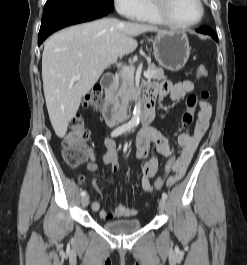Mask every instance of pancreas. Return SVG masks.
<instances>
[{
    "instance_id": "pancreas-1",
    "label": "pancreas",
    "mask_w": 247,
    "mask_h": 265,
    "mask_svg": "<svg viewBox=\"0 0 247 265\" xmlns=\"http://www.w3.org/2000/svg\"><path fill=\"white\" fill-rule=\"evenodd\" d=\"M148 72L152 74V78L155 80L165 79L164 71L161 68L155 66V64L148 62ZM124 92L128 95V97L132 98L135 92V82L133 75L124 76L122 78V82H116L114 86V95L113 102L115 105H118L119 98L124 95Z\"/></svg>"
}]
</instances>
